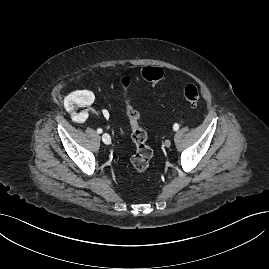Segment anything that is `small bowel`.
Masks as SVG:
<instances>
[{
	"label": "small bowel",
	"mask_w": 269,
	"mask_h": 269,
	"mask_svg": "<svg viewBox=\"0 0 269 269\" xmlns=\"http://www.w3.org/2000/svg\"><path fill=\"white\" fill-rule=\"evenodd\" d=\"M105 117H107V114L105 113V115H104Z\"/></svg>",
	"instance_id": "small-bowel-1"
}]
</instances>
